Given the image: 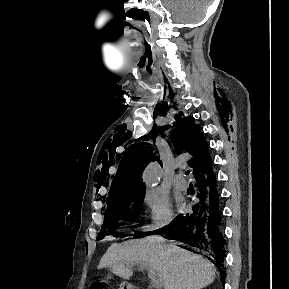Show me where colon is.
<instances>
[{"label":"colon","instance_id":"obj_1","mask_svg":"<svg viewBox=\"0 0 289 289\" xmlns=\"http://www.w3.org/2000/svg\"><path fill=\"white\" fill-rule=\"evenodd\" d=\"M89 289H109V288L104 282L95 281L90 285Z\"/></svg>","mask_w":289,"mask_h":289}]
</instances>
